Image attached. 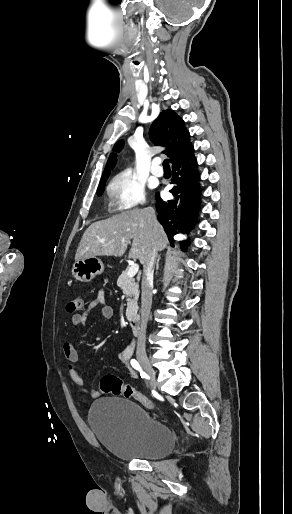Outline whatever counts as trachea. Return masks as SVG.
Wrapping results in <instances>:
<instances>
[{"label": "trachea", "instance_id": "obj_1", "mask_svg": "<svg viewBox=\"0 0 292 514\" xmlns=\"http://www.w3.org/2000/svg\"><path fill=\"white\" fill-rule=\"evenodd\" d=\"M163 168L164 170H170L169 159L163 161Z\"/></svg>", "mask_w": 292, "mask_h": 514}]
</instances>
